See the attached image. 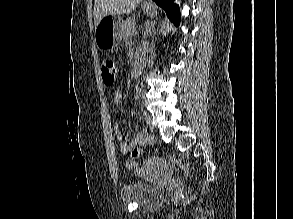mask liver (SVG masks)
Listing matches in <instances>:
<instances>
[{
    "instance_id": "1",
    "label": "liver",
    "mask_w": 293,
    "mask_h": 219,
    "mask_svg": "<svg viewBox=\"0 0 293 219\" xmlns=\"http://www.w3.org/2000/svg\"><path fill=\"white\" fill-rule=\"evenodd\" d=\"M142 0H95L94 25L107 15L130 14Z\"/></svg>"
}]
</instances>
